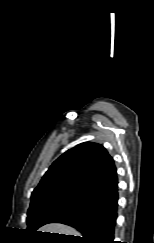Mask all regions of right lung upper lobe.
<instances>
[{"label": "right lung upper lobe", "instance_id": "cb5924a9", "mask_svg": "<svg viewBox=\"0 0 154 243\" xmlns=\"http://www.w3.org/2000/svg\"><path fill=\"white\" fill-rule=\"evenodd\" d=\"M115 185L113 159L101 145L85 142L66 151L50 166L31 199L65 196L86 202Z\"/></svg>", "mask_w": 154, "mask_h": 243}]
</instances>
